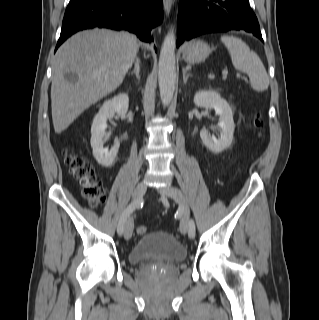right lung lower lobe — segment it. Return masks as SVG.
Wrapping results in <instances>:
<instances>
[{"label": "right lung lower lobe", "mask_w": 319, "mask_h": 320, "mask_svg": "<svg viewBox=\"0 0 319 320\" xmlns=\"http://www.w3.org/2000/svg\"><path fill=\"white\" fill-rule=\"evenodd\" d=\"M163 20L162 0H73L69 3L56 49L72 34L93 27L128 30L143 41Z\"/></svg>", "instance_id": "obj_1"}]
</instances>
